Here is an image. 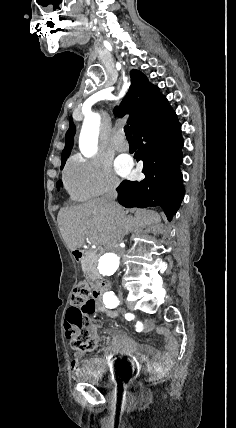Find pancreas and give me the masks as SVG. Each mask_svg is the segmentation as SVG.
<instances>
[{
	"instance_id": "pancreas-1",
	"label": "pancreas",
	"mask_w": 236,
	"mask_h": 428,
	"mask_svg": "<svg viewBox=\"0 0 236 428\" xmlns=\"http://www.w3.org/2000/svg\"><path fill=\"white\" fill-rule=\"evenodd\" d=\"M99 254L97 256H92V258H88L86 262H82V272H85L86 276H88L89 280H94L97 286V280L100 278L98 274V270L96 268L98 264Z\"/></svg>"
}]
</instances>
